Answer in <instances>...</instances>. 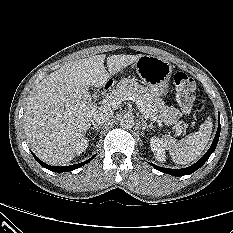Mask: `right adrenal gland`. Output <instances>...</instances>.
Returning <instances> with one entry per match:
<instances>
[{
  "instance_id": "1",
  "label": "right adrenal gland",
  "mask_w": 233,
  "mask_h": 233,
  "mask_svg": "<svg viewBox=\"0 0 233 233\" xmlns=\"http://www.w3.org/2000/svg\"><path fill=\"white\" fill-rule=\"evenodd\" d=\"M101 126H93V127H89V129L91 130H95L97 133L99 132Z\"/></svg>"
}]
</instances>
